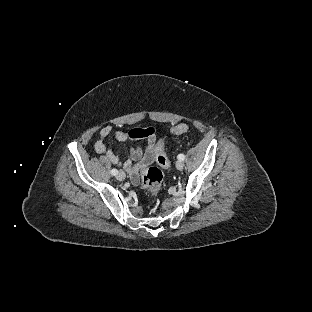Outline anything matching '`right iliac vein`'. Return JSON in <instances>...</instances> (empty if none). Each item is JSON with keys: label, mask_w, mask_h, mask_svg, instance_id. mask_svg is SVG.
<instances>
[{"label": "right iliac vein", "mask_w": 312, "mask_h": 312, "mask_svg": "<svg viewBox=\"0 0 312 312\" xmlns=\"http://www.w3.org/2000/svg\"><path fill=\"white\" fill-rule=\"evenodd\" d=\"M125 178H126V174H125L123 171H120V172L117 174V179H118L119 181H123Z\"/></svg>", "instance_id": "1"}]
</instances>
